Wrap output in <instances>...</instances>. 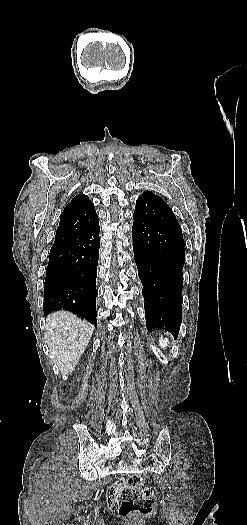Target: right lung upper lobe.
<instances>
[{
    "mask_svg": "<svg viewBox=\"0 0 247 525\" xmlns=\"http://www.w3.org/2000/svg\"><path fill=\"white\" fill-rule=\"evenodd\" d=\"M94 204L85 194L75 196L63 210L51 249L62 246L98 225Z\"/></svg>",
    "mask_w": 247,
    "mask_h": 525,
    "instance_id": "right-lung-upper-lobe-1",
    "label": "right lung upper lobe"
}]
</instances>
